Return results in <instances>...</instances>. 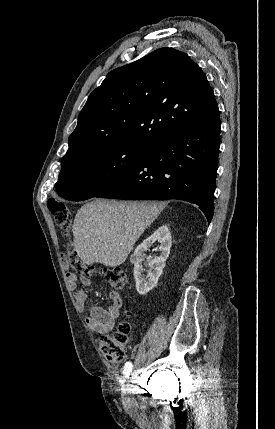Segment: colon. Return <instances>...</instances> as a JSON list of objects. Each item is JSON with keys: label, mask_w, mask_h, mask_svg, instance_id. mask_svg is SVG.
<instances>
[{"label": "colon", "mask_w": 275, "mask_h": 429, "mask_svg": "<svg viewBox=\"0 0 275 429\" xmlns=\"http://www.w3.org/2000/svg\"><path fill=\"white\" fill-rule=\"evenodd\" d=\"M48 208L53 215L56 225L68 231L71 227L72 215L69 208L62 202L53 200L48 202ZM65 261L75 269L82 277L89 278L95 274L94 267L85 264L70 247ZM99 274L110 284L114 290H123L128 282L126 272L120 267L103 268ZM131 326L128 322H121L117 331L112 335L102 336L99 339V347L104 358L113 364H120L124 358L129 343Z\"/></svg>", "instance_id": "1"}]
</instances>
